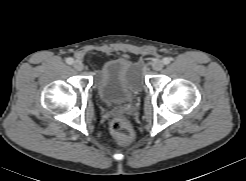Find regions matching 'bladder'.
<instances>
[{"mask_svg":"<svg viewBox=\"0 0 246 181\" xmlns=\"http://www.w3.org/2000/svg\"><path fill=\"white\" fill-rule=\"evenodd\" d=\"M95 80L103 102L120 104L141 89L142 72L137 64L118 58L105 62L98 69Z\"/></svg>","mask_w":246,"mask_h":181,"instance_id":"obj_1","label":"bladder"}]
</instances>
